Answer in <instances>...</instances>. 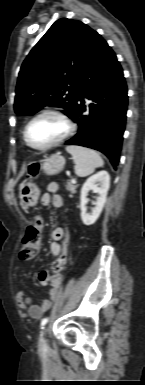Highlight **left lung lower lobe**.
Instances as JSON below:
<instances>
[{
    "label": "left lung lower lobe",
    "instance_id": "1",
    "mask_svg": "<svg viewBox=\"0 0 145 385\" xmlns=\"http://www.w3.org/2000/svg\"><path fill=\"white\" fill-rule=\"evenodd\" d=\"M84 97L92 103L86 107ZM127 85L115 53L97 33L81 73L79 96L72 119L78 133L66 145H80L104 153L118 165L126 123Z\"/></svg>",
    "mask_w": 145,
    "mask_h": 385
}]
</instances>
